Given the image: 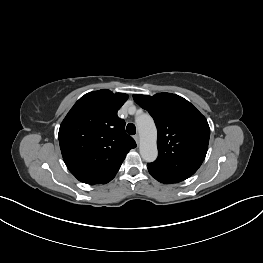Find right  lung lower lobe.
<instances>
[{
  "mask_svg": "<svg viewBox=\"0 0 263 263\" xmlns=\"http://www.w3.org/2000/svg\"><path fill=\"white\" fill-rule=\"evenodd\" d=\"M111 179H112V178H111ZM111 179L107 180L106 182H104V183H102V184H105V183L109 182Z\"/></svg>",
  "mask_w": 263,
  "mask_h": 263,
  "instance_id": "right-lung-lower-lobe-1",
  "label": "right lung lower lobe"
}]
</instances>
